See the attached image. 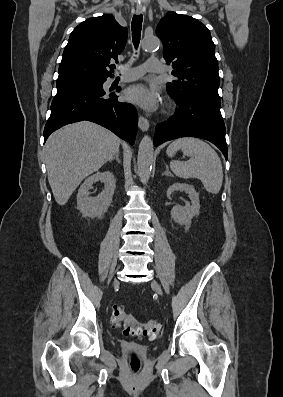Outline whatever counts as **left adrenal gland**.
<instances>
[{
	"label": "left adrenal gland",
	"instance_id": "1",
	"mask_svg": "<svg viewBox=\"0 0 283 397\" xmlns=\"http://www.w3.org/2000/svg\"><path fill=\"white\" fill-rule=\"evenodd\" d=\"M162 175H166V176H170L173 177V175L171 174V172L169 171L168 166L166 165V171L162 173Z\"/></svg>",
	"mask_w": 283,
	"mask_h": 397
}]
</instances>
